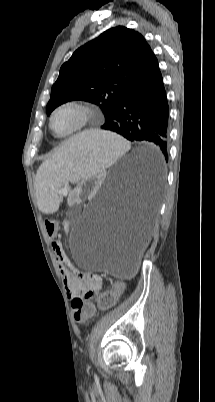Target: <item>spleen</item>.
Wrapping results in <instances>:
<instances>
[{
  "label": "spleen",
  "instance_id": "1",
  "mask_svg": "<svg viewBox=\"0 0 215 402\" xmlns=\"http://www.w3.org/2000/svg\"><path fill=\"white\" fill-rule=\"evenodd\" d=\"M130 149L129 142L109 132H82L66 141L39 169V210L54 212L62 204L57 189L68 180L94 175Z\"/></svg>",
  "mask_w": 215,
  "mask_h": 402
}]
</instances>
